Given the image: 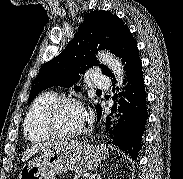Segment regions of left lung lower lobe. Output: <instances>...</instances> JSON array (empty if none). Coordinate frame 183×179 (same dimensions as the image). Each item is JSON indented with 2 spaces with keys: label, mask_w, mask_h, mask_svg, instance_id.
Returning a JSON list of instances; mask_svg holds the SVG:
<instances>
[{
  "label": "left lung lower lobe",
  "mask_w": 183,
  "mask_h": 179,
  "mask_svg": "<svg viewBox=\"0 0 183 179\" xmlns=\"http://www.w3.org/2000/svg\"><path fill=\"white\" fill-rule=\"evenodd\" d=\"M116 56L122 59L126 86L122 92L124 98L119 102V122L112 131L109 122L111 119L107 117L106 130L112 133V144L137 159L147 119V101L139 51L130 31L124 35ZM109 76L114 79L112 73ZM101 113L102 111L98 112L97 121L100 120Z\"/></svg>",
  "instance_id": "left-lung-lower-lobe-1"
}]
</instances>
